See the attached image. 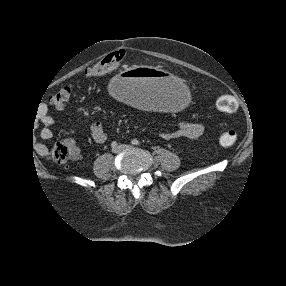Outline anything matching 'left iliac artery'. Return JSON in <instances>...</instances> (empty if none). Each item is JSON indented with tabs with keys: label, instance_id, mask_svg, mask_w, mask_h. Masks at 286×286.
<instances>
[{
	"label": "left iliac artery",
	"instance_id": "1",
	"mask_svg": "<svg viewBox=\"0 0 286 286\" xmlns=\"http://www.w3.org/2000/svg\"><path fill=\"white\" fill-rule=\"evenodd\" d=\"M133 145H140L141 142L137 139H133L132 142H131Z\"/></svg>",
	"mask_w": 286,
	"mask_h": 286
}]
</instances>
